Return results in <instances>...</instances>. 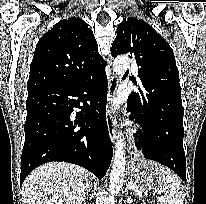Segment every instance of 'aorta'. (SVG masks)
<instances>
[{
    "label": "aorta",
    "mask_w": 206,
    "mask_h": 204,
    "mask_svg": "<svg viewBox=\"0 0 206 204\" xmlns=\"http://www.w3.org/2000/svg\"><path fill=\"white\" fill-rule=\"evenodd\" d=\"M130 59L127 56H118L113 61V71L116 75L122 76L128 69ZM115 156L110 173L109 191L111 194H117L124 182L126 155H125V142L122 138V133L116 136Z\"/></svg>",
    "instance_id": "aorta-1"
}]
</instances>
